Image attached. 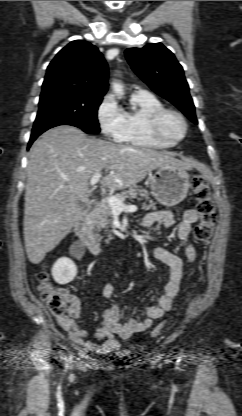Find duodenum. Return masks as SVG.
I'll return each mask as SVG.
<instances>
[{
	"label": "duodenum",
	"mask_w": 242,
	"mask_h": 416,
	"mask_svg": "<svg viewBox=\"0 0 242 416\" xmlns=\"http://www.w3.org/2000/svg\"><path fill=\"white\" fill-rule=\"evenodd\" d=\"M98 203L91 201L88 204L87 210L82 214L75 225V232L81 242L89 249L93 255H103L105 248L103 244L93 235L91 230V215L97 210Z\"/></svg>",
	"instance_id": "410a0bca"
}]
</instances>
